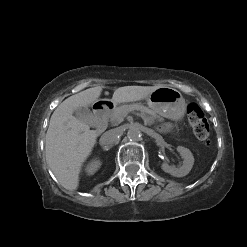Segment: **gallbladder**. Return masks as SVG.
<instances>
[{
  "label": "gallbladder",
  "instance_id": "1",
  "mask_svg": "<svg viewBox=\"0 0 247 247\" xmlns=\"http://www.w3.org/2000/svg\"><path fill=\"white\" fill-rule=\"evenodd\" d=\"M74 116L86 124L93 125L94 117L92 112L86 107H79L74 111Z\"/></svg>",
  "mask_w": 247,
  "mask_h": 247
}]
</instances>
